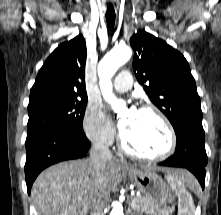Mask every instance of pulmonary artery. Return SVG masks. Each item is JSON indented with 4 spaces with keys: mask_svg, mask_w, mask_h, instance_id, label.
<instances>
[{
    "mask_svg": "<svg viewBox=\"0 0 221 215\" xmlns=\"http://www.w3.org/2000/svg\"><path fill=\"white\" fill-rule=\"evenodd\" d=\"M132 76L129 71H121L113 82V88L119 92L128 91L132 87Z\"/></svg>",
    "mask_w": 221,
    "mask_h": 215,
    "instance_id": "e3ab8cb5",
    "label": "pulmonary artery"
}]
</instances>
